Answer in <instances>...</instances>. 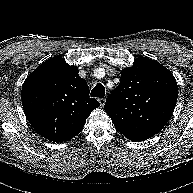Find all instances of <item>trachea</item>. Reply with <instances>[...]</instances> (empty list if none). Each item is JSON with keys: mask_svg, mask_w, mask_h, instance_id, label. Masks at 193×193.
Listing matches in <instances>:
<instances>
[{"mask_svg": "<svg viewBox=\"0 0 193 193\" xmlns=\"http://www.w3.org/2000/svg\"><path fill=\"white\" fill-rule=\"evenodd\" d=\"M91 96L103 98L105 96V88L101 83H98L91 91Z\"/></svg>", "mask_w": 193, "mask_h": 193, "instance_id": "3493384b", "label": "trachea"}]
</instances>
